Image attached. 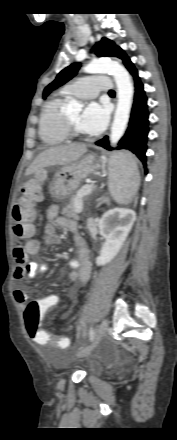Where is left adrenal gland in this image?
Wrapping results in <instances>:
<instances>
[{
    "instance_id": "a2214340",
    "label": "left adrenal gland",
    "mask_w": 177,
    "mask_h": 440,
    "mask_svg": "<svg viewBox=\"0 0 177 440\" xmlns=\"http://www.w3.org/2000/svg\"><path fill=\"white\" fill-rule=\"evenodd\" d=\"M110 202V199L109 198H104L99 204H102V203H109Z\"/></svg>"
}]
</instances>
